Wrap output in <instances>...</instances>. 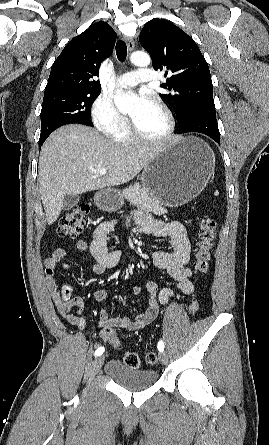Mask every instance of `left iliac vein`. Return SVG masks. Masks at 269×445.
Returning a JSON list of instances; mask_svg holds the SVG:
<instances>
[{
	"label": "left iliac vein",
	"instance_id": "4c4485c4",
	"mask_svg": "<svg viewBox=\"0 0 269 445\" xmlns=\"http://www.w3.org/2000/svg\"><path fill=\"white\" fill-rule=\"evenodd\" d=\"M159 359L162 364H167V362H168V356L165 352H161L159 354Z\"/></svg>",
	"mask_w": 269,
	"mask_h": 445
}]
</instances>
